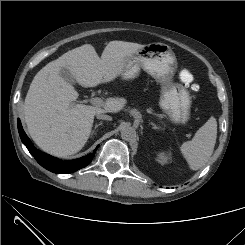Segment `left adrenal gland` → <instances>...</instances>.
I'll return each mask as SVG.
<instances>
[{"instance_id":"obj_1","label":"left adrenal gland","mask_w":245,"mask_h":245,"mask_svg":"<svg viewBox=\"0 0 245 245\" xmlns=\"http://www.w3.org/2000/svg\"><path fill=\"white\" fill-rule=\"evenodd\" d=\"M150 124L153 126V129H158V130L161 129V127L157 126V125H156L155 123H153V122H150Z\"/></svg>"}]
</instances>
